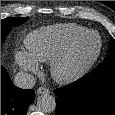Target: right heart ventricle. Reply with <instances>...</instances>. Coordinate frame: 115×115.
<instances>
[{"label": "right heart ventricle", "instance_id": "e07e8e85", "mask_svg": "<svg viewBox=\"0 0 115 115\" xmlns=\"http://www.w3.org/2000/svg\"><path fill=\"white\" fill-rule=\"evenodd\" d=\"M87 30L75 23L50 25L29 33L25 45L37 63L52 62L77 36Z\"/></svg>", "mask_w": 115, "mask_h": 115}]
</instances>
